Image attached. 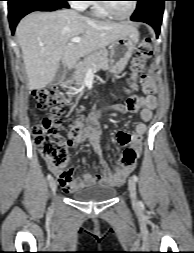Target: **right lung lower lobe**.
Masks as SVG:
<instances>
[{"label": "right lung lower lobe", "instance_id": "98d812e1", "mask_svg": "<svg viewBox=\"0 0 194 253\" xmlns=\"http://www.w3.org/2000/svg\"><path fill=\"white\" fill-rule=\"evenodd\" d=\"M8 16L12 33L19 20L33 11H54L68 7L67 0H7Z\"/></svg>", "mask_w": 194, "mask_h": 253}]
</instances>
